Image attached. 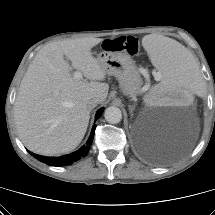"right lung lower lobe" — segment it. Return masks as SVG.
Instances as JSON below:
<instances>
[{"instance_id":"obj_1","label":"right lung lower lobe","mask_w":215,"mask_h":215,"mask_svg":"<svg viewBox=\"0 0 215 215\" xmlns=\"http://www.w3.org/2000/svg\"><path fill=\"white\" fill-rule=\"evenodd\" d=\"M103 110H104L103 108L98 110V112L96 113V116H95L96 119H98L101 116V114L103 113ZM95 128H96V125H93L90 137H89L86 145L82 146L79 150H77L74 153H71V154H68V155H65V156H60V157H45V156L34 154V153L30 152V151H29V153L33 157L38 159L39 161L47 163L50 166H65V165H69V164H71L73 162H76L79 159H81L82 157L87 155V153H88V151L90 149V145H91V143L93 141Z\"/></svg>"}]
</instances>
